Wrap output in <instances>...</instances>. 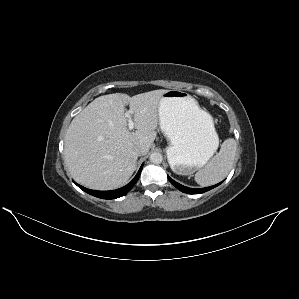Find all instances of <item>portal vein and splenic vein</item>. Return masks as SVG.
I'll return each mask as SVG.
<instances>
[{
  "mask_svg": "<svg viewBox=\"0 0 299 299\" xmlns=\"http://www.w3.org/2000/svg\"><path fill=\"white\" fill-rule=\"evenodd\" d=\"M125 116L129 119L128 128L131 131L134 128V121L132 119V111H127Z\"/></svg>",
  "mask_w": 299,
  "mask_h": 299,
  "instance_id": "1",
  "label": "portal vein and splenic vein"
}]
</instances>
